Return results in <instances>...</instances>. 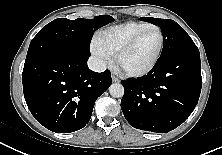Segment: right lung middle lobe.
I'll return each mask as SVG.
<instances>
[{"label":"right lung middle lobe","mask_w":222,"mask_h":155,"mask_svg":"<svg viewBox=\"0 0 222 155\" xmlns=\"http://www.w3.org/2000/svg\"><path fill=\"white\" fill-rule=\"evenodd\" d=\"M113 21L109 15L96 16L94 19H55L32 39L25 64L41 56L61 51L89 55L94 32Z\"/></svg>","instance_id":"1"}]
</instances>
